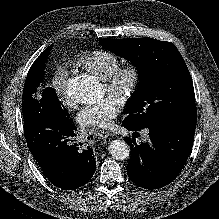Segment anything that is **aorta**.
Listing matches in <instances>:
<instances>
[{
	"mask_svg": "<svg viewBox=\"0 0 219 219\" xmlns=\"http://www.w3.org/2000/svg\"><path fill=\"white\" fill-rule=\"evenodd\" d=\"M68 96L78 102H90L98 97L97 81L91 76H76L69 79L67 84ZM109 152L117 160H125L130 155L128 144L121 140H113L109 145Z\"/></svg>",
	"mask_w": 219,
	"mask_h": 219,
	"instance_id": "obj_1",
	"label": "aorta"
}]
</instances>
